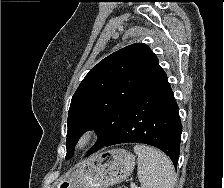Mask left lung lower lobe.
Segmentation results:
<instances>
[{"label": "left lung lower lobe", "mask_w": 224, "mask_h": 188, "mask_svg": "<svg viewBox=\"0 0 224 188\" xmlns=\"http://www.w3.org/2000/svg\"><path fill=\"white\" fill-rule=\"evenodd\" d=\"M181 131L178 106L165 76L134 101L102 147L133 142L152 145L165 152L176 167Z\"/></svg>", "instance_id": "obj_1"}]
</instances>
